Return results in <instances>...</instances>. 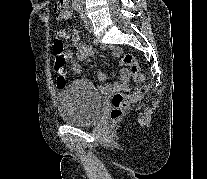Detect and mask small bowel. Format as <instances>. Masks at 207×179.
Wrapping results in <instances>:
<instances>
[{"instance_id": "c3829d8e", "label": "small bowel", "mask_w": 207, "mask_h": 179, "mask_svg": "<svg viewBox=\"0 0 207 179\" xmlns=\"http://www.w3.org/2000/svg\"><path fill=\"white\" fill-rule=\"evenodd\" d=\"M67 7H68V0H67ZM71 16H72L71 12L68 9H66L60 19L69 20L71 19ZM55 35L59 36L62 39H70L73 42V44L76 46L75 56L70 51H67L65 54H66V57L70 60L72 71L75 74H79L81 72L79 61H83V60L92 58L94 56V51L92 47L89 45L88 42L80 41L77 31L68 33L64 29H59L56 31ZM103 48L104 49L107 48L112 53V55L119 60L121 70L119 73V81L102 84L100 86V90L102 92H109L116 88H127L129 85V81H130V73L124 67V65L121 64V59L124 55L123 50L118 47H113V46H109V47L103 46ZM97 78L100 82H105L106 75L103 72H99L97 74Z\"/></svg>"}]
</instances>
